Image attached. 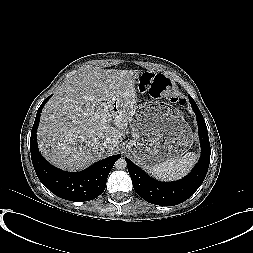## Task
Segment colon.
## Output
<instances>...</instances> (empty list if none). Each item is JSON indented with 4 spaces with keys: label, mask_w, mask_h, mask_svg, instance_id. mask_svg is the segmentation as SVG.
I'll list each match as a JSON object with an SVG mask.
<instances>
[{
    "label": "colon",
    "mask_w": 253,
    "mask_h": 253,
    "mask_svg": "<svg viewBox=\"0 0 253 253\" xmlns=\"http://www.w3.org/2000/svg\"><path fill=\"white\" fill-rule=\"evenodd\" d=\"M139 85L142 92H149L152 98H161L174 108L180 109L186 105V96L161 75L144 73L139 77Z\"/></svg>",
    "instance_id": "5ec220e1"
}]
</instances>
